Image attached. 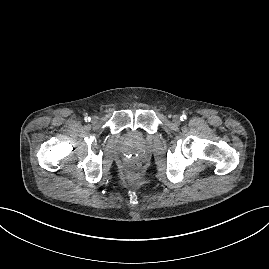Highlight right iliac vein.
Masks as SVG:
<instances>
[{"label":"right iliac vein","mask_w":269,"mask_h":269,"mask_svg":"<svg viewBox=\"0 0 269 269\" xmlns=\"http://www.w3.org/2000/svg\"><path fill=\"white\" fill-rule=\"evenodd\" d=\"M98 121V117L97 116H93L92 118H91V122L94 124V123H96Z\"/></svg>","instance_id":"obj_1"}]
</instances>
